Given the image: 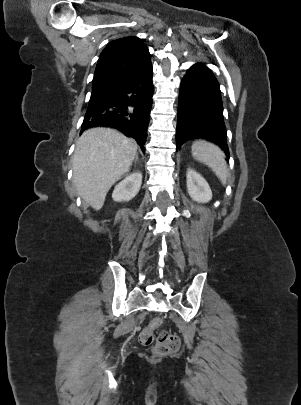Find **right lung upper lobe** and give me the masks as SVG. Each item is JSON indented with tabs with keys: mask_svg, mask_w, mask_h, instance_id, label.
Instances as JSON below:
<instances>
[{
	"mask_svg": "<svg viewBox=\"0 0 301 405\" xmlns=\"http://www.w3.org/2000/svg\"><path fill=\"white\" fill-rule=\"evenodd\" d=\"M150 60V53L135 36L111 41L102 51L92 83V93H112Z\"/></svg>",
	"mask_w": 301,
	"mask_h": 405,
	"instance_id": "cb5924a9",
	"label": "right lung upper lobe"
}]
</instances>
